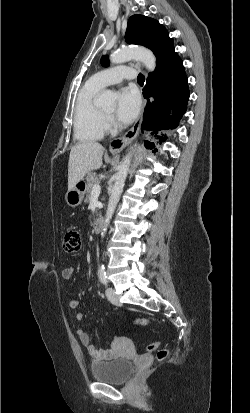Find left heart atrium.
Instances as JSON below:
<instances>
[{
    "label": "left heart atrium",
    "mask_w": 250,
    "mask_h": 413,
    "mask_svg": "<svg viewBox=\"0 0 250 413\" xmlns=\"http://www.w3.org/2000/svg\"><path fill=\"white\" fill-rule=\"evenodd\" d=\"M140 109L138 92L130 87L123 88L118 94L117 116L124 123L132 122Z\"/></svg>",
    "instance_id": "obj_1"
}]
</instances>
